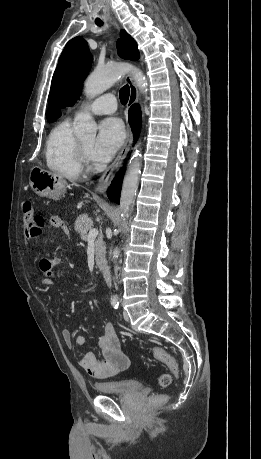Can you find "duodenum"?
<instances>
[{
  "label": "duodenum",
  "mask_w": 261,
  "mask_h": 459,
  "mask_svg": "<svg viewBox=\"0 0 261 459\" xmlns=\"http://www.w3.org/2000/svg\"><path fill=\"white\" fill-rule=\"evenodd\" d=\"M100 269L107 283L111 282L110 269L106 264H100Z\"/></svg>",
  "instance_id": "410a0bca"
}]
</instances>
